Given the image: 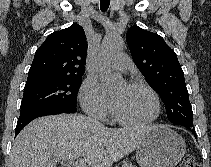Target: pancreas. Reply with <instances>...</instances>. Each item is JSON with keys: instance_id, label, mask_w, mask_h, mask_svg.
<instances>
[{"instance_id": "pancreas-1", "label": "pancreas", "mask_w": 211, "mask_h": 167, "mask_svg": "<svg viewBox=\"0 0 211 167\" xmlns=\"http://www.w3.org/2000/svg\"><path fill=\"white\" fill-rule=\"evenodd\" d=\"M122 167H136V166L131 163L125 162L123 163Z\"/></svg>"}]
</instances>
